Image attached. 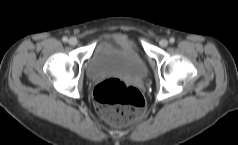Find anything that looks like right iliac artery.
Returning <instances> with one entry per match:
<instances>
[{
    "mask_svg": "<svg viewBox=\"0 0 238 145\" xmlns=\"http://www.w3.org/2000/svg\"><path fill=\"white\" fill-rule=\"evenodd\" d=\"M62 41H63V42H67V41H68L67 37H63V38H62Z\"/></svg>",
    "mask_w": 238,
    "mask_h": 145,
    "instance_id": "right-iliac-artery-1",
    "label": "right iliac artery"
}]
</instances>
